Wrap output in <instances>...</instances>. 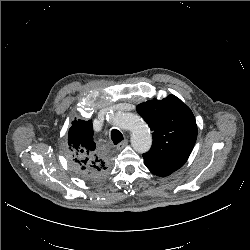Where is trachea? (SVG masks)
Listing matches in <instances>:
<instances>
[{"instance_id":"obj_1","label":"trachea","mask_w":250,"mask_h":250,"mask_svg":"<svg viewBox=\"0 0 250 250\" xmlns=\"http://www.w3.org/2000/svg\"><path fill=\"white\" fill-rule=\"evenodd\" d=\"M111 139H112L113 143L115 145H117L118 143H120L123 140V136L119 130L113 129L111 131Z\"/></svg>"}]
</instances>
